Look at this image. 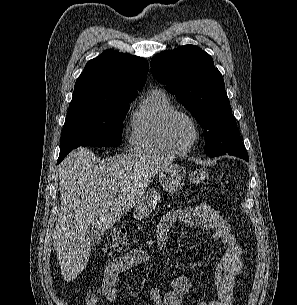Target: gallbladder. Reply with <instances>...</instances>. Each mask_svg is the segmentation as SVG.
<instances>
[{
    "instance_id": "bac80fb5",
    "label": "gallbladder",
    "mask_w": 297,
    "mask_h": 305,
    "mask_svg": "<svg viewBox=\"0 0 297 305\" xmlns=\"http://www.w3.org/2000/svg\"><path fill=\"white\" fill-rule=\"evenodd\" d=\"M85 237L89 241V243L94 246L98 244L101 240L102 237V232L99 230L97 226H88L86 232H85Z\"/></svg>"
}]
</instances>
